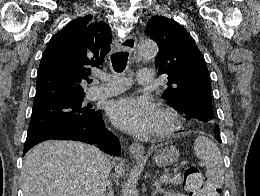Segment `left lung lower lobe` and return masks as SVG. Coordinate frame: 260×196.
I'll return each mask as SVG.
<instances>
[{
  "label": "left lung lower lobe",
  "mask_w": 260,
  "mask_h": 196,
  "mask_svg": "<svg viewBox=\"0 0 260 196\" xmlns=\"http://www.w3.org/2000/svg\"><path fill=\"white\" fill-rule=\"evenodd\" d=\"M189 118L190 119H194V120H198V121H209L212 120L214 118H216L214 111H213V107H197L194 109H191V112L189 113ZM214 133L216 134L214 137L215 139L221 143V138H220V131H219V126L215 125L214 127Z\"/></svg>",
  "instance_id": "left-lung-lower-lobe-1"
}]
</instances>
